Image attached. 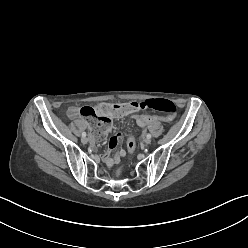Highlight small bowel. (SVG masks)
<instances>
[{"instance_id":"1","label":"small bowel","mask_w":248,"mask_h":248,"mask_svg":"<svg viewBox=\"0 0 248 248\" xmlns=\"http://www.w3.org/2000/svg\"><path fill=\"white\" fill-rule=\"evenodd\" d=\"M136 111H128L124 116L129 117L132 113L137 114ZM67 115L69 118H72V119L79 118L81 116L80 115V108L75 107V106L69 107L67 110ZM114 118H116V117H114ZM109 126L111 128V124ZM121 139H122V133L120 131L115 130L112 132V135L109 139L108 150L103 155V160L106 163L108 168H111L113 165L118 164L120 162L121 157L125 156V154H126V151L124 148L119 149L115 154H113L114 149L117 147V145Z\"/></svg>"}]
</instances>
